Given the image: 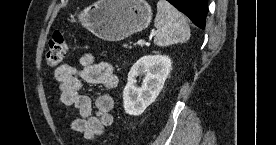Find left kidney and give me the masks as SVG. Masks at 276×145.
I'll use <instances>...</instances> for the list:
<instances>
[{
    "instance_id": "1",
    "label": "left kidney",
    "mask_w": 276,
    "mask_h": 145,
    "mask_svg": "<svg viewBox=\"0 0 276 145\" xmlns=\"http://www.w3.org/2000/svg\"><path fill=\"white\" fill-rule=\"evenodd\" d=\"M171 64L168 56L146 55L132 66L123 91V104L127 114L139 116L155 101L170 73ZM140 75L145 77L138 87L136 79Z\"/></svg>"
}]
</instances>
